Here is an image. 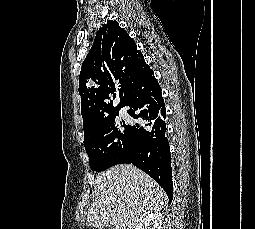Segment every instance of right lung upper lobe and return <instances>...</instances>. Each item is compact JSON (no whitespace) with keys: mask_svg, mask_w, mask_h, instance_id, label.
<instances>
[{"mask_svg":"<svg viewBox=\"0 0 255 229\" xmlns=\"http://www.w3.org/2000/svg\"><path fill=\"white\" fill-rule=\"evenodd\" d=\"M148 65L136 43L116 21L108 20L96 34L79 77L84 142L125 105L135 77ZM94 84L87 87L86 83ZM119 91L114 107L111 95Z\"/></svg>","mask_w":255,"mask_h":229,"instance_id":"right-lung-upper-lobe-1","label":"right lung upper lobe"}]
</instances>
